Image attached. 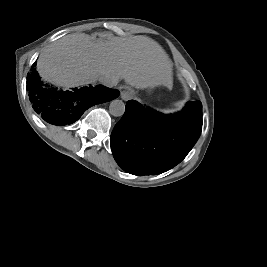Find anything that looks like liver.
Segmentation results:
<instances>
[{"label": "liver", "mask_w": 267, "mask_h": 267, "mask_svg": "<svg viewBox=\"0 0 267 267\" xmlns=\"http://www.w3.org/2000/svg\"><path fill=\"white\" fill-rule=\"evenodd\" d=\"M40 76L55 85L75 87L110 75L137 89L170 86L172 63L163 48L147 36L92 40L68 34L48 45L37 61Z\"/></svg>", "instance_id": "1"}]
</instances>
